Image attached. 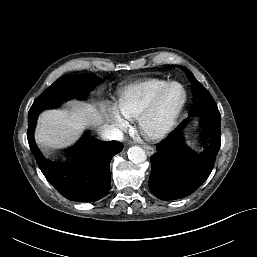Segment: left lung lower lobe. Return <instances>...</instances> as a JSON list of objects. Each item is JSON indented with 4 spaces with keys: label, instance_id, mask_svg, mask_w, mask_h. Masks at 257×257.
<instances>
[{
    "label": "left lung lower lobe",
    "instance_id": "0a47b994",
    "mask_svg": "<svg viewBox=\"0 0 257 257\" xmlns=\"http://www.w3.org/2000/svg\"><path fill=\"white\" fill-rule=\"evenodd\" d=\"M220 119L203 122L204 144L198 150L189 149L175 129L151 157L149 178L151 192L161 200L184 198L198 189L208 178L220 149Z\"/></svg>",
    "mask_w": 257,
    "mask_h": 257
}]
</instances>
